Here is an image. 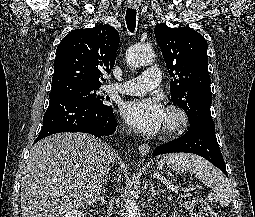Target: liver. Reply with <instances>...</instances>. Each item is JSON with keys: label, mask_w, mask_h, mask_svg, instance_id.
Here are the masks:
<instances>
[{"label": "liver", "mask_w": 255, "mask_h": 217, "mask_svg": "<svg viewBox=\"0 0 255 217\" xmlns=\"http://www.w3.org/2000/svg\"><path fill=\"white\" fill-rule=\"evenodd\" d=\"M114 159L106 142L85 133H59L39 141L22 176V217H60L91 205Z\"/></svg>", "instance_id": "1"}]
</instances>
